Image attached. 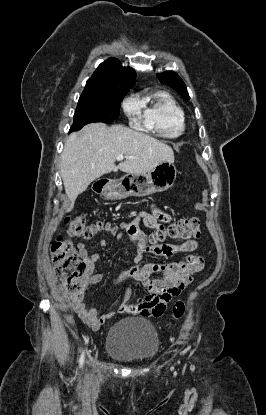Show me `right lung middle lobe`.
Instances as JSON below:
<instances>
[{"instance_id":"obj_1","label":"right lung middle lobe","mask_w":266,"mask_h":415,"mask_svg":"<svg viewBox=\"0 0 266 415\" xmlns=\"http://www.w3.org/2000/svg\"><path fill=\"white\" fill-rule=\"evenodd\" d=\"M126 93L111 96L81 95L69 132L78 131L93 122L110 123L119 117L120 102Z\"/></svg>"}]
</instances>
